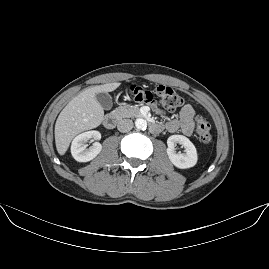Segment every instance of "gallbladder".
<instances>
[{
	"instance_id": "obj_1",
	"label": "gallbladder",
	"mask_w": 269,
	"mask_h": 269,
	"mask_svg": "<svg viewBox=\"0 0 269 269\" xmlns=\"http://www.w3.org/2000/svg\"><path fill=\"white\" fill-rule=\"evenodd\" d=\"M96 99L104 109H109L112 106L111 97L107 92L97 93Z\"/></svg>"
}]
</instances>
